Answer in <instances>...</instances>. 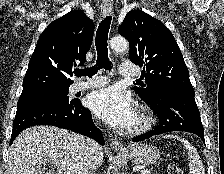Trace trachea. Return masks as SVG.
I'll list each match as a JSON object with an SVG mask.
<instances>
[{"mask_svg": "<svg viewBox=\"0 0 224 174\" xmlns=\"http://www.w3.org/2000/svg\"><path fill=\"white\" fill-rule=\"evenodd\" d=\"M112 17L110 15L106 16L101 23L96 32L95 46L97 51V62L96 67L85 68L83 70H77L75 72L76 76H89L92 77L97 73L99 69L105 68L107 70L112 69L111 62L108 58V48L107 39L108 32L111 24Z\"/></svg>", "mask_w": 224, "mask_h": 174, "instance_id": "1", "label": "trachea"}]
</instances>
